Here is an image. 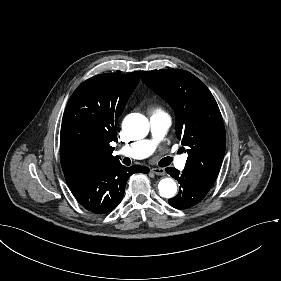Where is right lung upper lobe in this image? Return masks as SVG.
<instances>
[{"label": "right lung upper lobe", "instance_id": "obj_1", "mask_svg": "<svg viewBox=\"0 0 281 281\" xmlns=\"http://www.w3.org/2000/svg\"><path fill=\"white\" fill-rule=\"evenodd\" d=\"M140 72L100 74L83 82L70 97L61 125L60 158L64 173L119 162L112 155L115 125L138 85Z\"/></svg>", "mask_w": 281, "mask_h": 281}]
</instances>
